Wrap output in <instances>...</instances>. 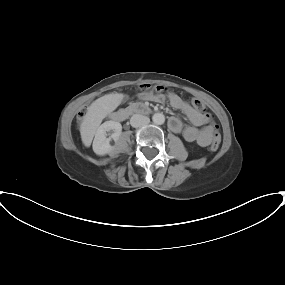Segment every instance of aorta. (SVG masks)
Here are the masks:
<instances>
[{
	"instance_id": "aorta-1",
	"label": "aorta",
	"mask_w": 285,
	"mask_h": 285,
	"mask_svg": "<svg viewBox=\"0 0 285 285\" xmlns=\"http://www.w3.org/2000/svg\"><path fill=\"white\" fill-rule=\"evenodd\" d=\"M152 120L157 125H162L165 122V116L163 113H155L152 116Z\"/></svg>"
}]
</instances>
